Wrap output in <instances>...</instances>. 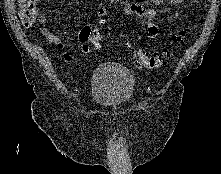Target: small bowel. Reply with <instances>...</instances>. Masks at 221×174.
<instances>
[{"instance_id":"1","label":"small bowel","mask_w":221,"mask_h":174,"mask_svg":"<svg viewBox=\"0 0 221 174\" xmlns=\"http://www.w3.org/2000/svg\"><path fill=\"white\" fill-rule=\"evenodd\" d=\"M154 4L167 3L170 6H178L182 4L185 0H148ZM124 13L132 16L141 18L144 21V31L146 35L153 38L158 33V26L155 23V19L159 15V10L153 6L149 5L145 0H136L132 3H128L123 8ZM106 14V8L104 5H98L96 9V18L98 20L102 19ZM43 27L40 28L41 33L52 43L56 44L59 50L62 52L65 61L70 62L72 60L71 55L67 51L66 44L63 41V37L53 34L47 27V21L45 18H40ZM84 28H92V25H86ZM81 32V31H80ZM78 41L82 44L80 40V33L78 35ZM82 48V47H81ZM82 52V50H81ZM85 54L84 52H82Z\"/></svg>"}]
</instances>
